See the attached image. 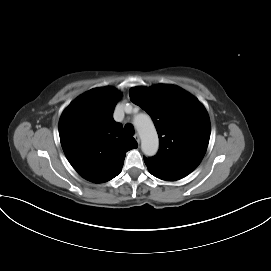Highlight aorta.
Returning <instances> with one entry per match:
<instances>
[{
	"instance_id": "obj_1",
	"label": "aorta",
	"mask_w": 271,
	"mask_h": 271,
	"mask_svg": "<svg viewBox=\"0 0 271 271\" xmlns=\"http://www.w3.org/2000/svg\"><path fill=\"white\" fill-rule=\"evenodd\" d=\"M134 124L141 138V149L145 156H154L159 147L158 134L151 118L146 114H139Z\"/></svg>"
}]
</instances>
